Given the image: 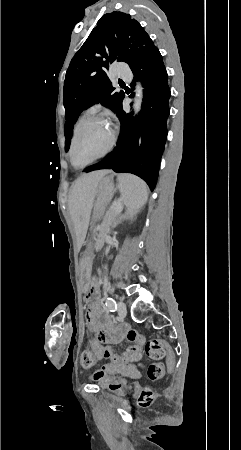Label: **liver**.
Instances as JSON below:
<instances>
[{"mask_svg": "<svg viewBox=\"0 0 241 450\" xmlns=\"http://www.w3.org/2000/svg\"><path fill=\"white\" fill-rule=\"evenodd\" d=\"M106 174H110V170H98V172L84 174V176H80V178L75 180L71 188L69 210L76 224L82 226L83 232L88 226L98 184Z\"/></svg>", "mask_w": 241, "mask_h": 450, "instance_id": "6515ba94", "label": "liver"}]
</instances>
